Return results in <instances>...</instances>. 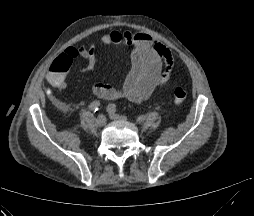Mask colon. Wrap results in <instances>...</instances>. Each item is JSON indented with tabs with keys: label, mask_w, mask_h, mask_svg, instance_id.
I'll use <instances>...</instances> for the list:
<instances>
[{
	"label": "colon",
	"mask_w": 254,
	"mask_h": 216,
	"mask_svg": "<svg viewBox=\"0 0 254 216\" xmlns=\"http://www.w3.org/2000/svg\"><path fill=\"white\" fill-rule=\"evenodd\" d=\"M70 65L62 63L61 57L56 59L49 68V73L53 74V78H57L60 74L67 71ZM187 92L183 87H176L173 92L175 103L180 104L186 99Z\"/></svg>",
	"instance_id": "1"
}]
</instances>
